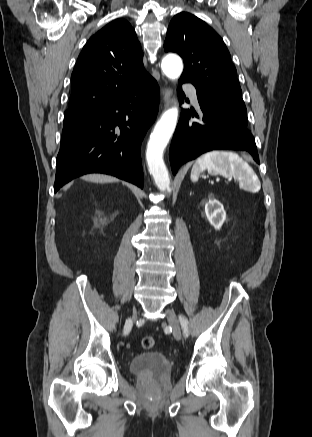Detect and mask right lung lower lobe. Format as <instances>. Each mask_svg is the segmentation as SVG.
<instances>
[{"label":"right lung lower lobe","mask_w":312,"mask_h":437,"mask_svg":"<svg viewBox=\"0 0 312 437\" xmlns=\"http://www.w3.org/2000/svg\"><path fill=\"white\" fill-rule=\"evenodd\" d=\"M159 105L157 82L149 75L133 88L64 126L54 190L87 173H105L143 188L141 142Z\"/></svg>","instance_id":"right-lung-lower-lobe-1"}]
</instances>
